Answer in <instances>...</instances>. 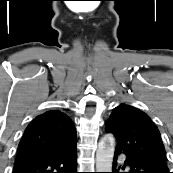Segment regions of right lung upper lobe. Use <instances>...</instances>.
<instances>
[{"mask_svg":"<svg viewBox=\"0 0 173 173\" xmlns=\"http://www.w3.org/2000/svg\"><path fill=\"white\" fill-rule=\"evenodd\" d=\"M76 147L72 120L59 110L37 116L26 128L15 162L61 153Z\"/></svg>","mask_w":173,"mask_h":173,"instance_id":"cb5924a9","label":"right lung upper lobe"}]
</instances>
